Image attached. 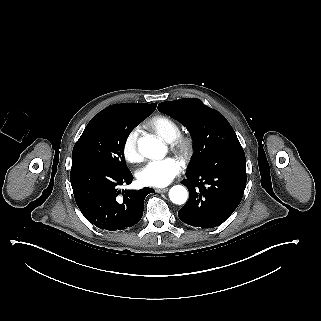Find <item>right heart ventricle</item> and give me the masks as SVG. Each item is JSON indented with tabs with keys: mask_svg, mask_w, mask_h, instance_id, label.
Instances as JSON below:
<instances>
[{
	"mask_svg": "<svg viewBox=\"0 0 321 321\" xmlns=\"http://www.w3.org/2000/svg\"><path fill=\"white\" fill-rule=\"evenodd\" d=\"M148 123L152 131L167 142H171L181 133L179 123L166 115H154Z\"/></svg>",
	"mask_w": 321,
	"mask_h": 321,
	"instance_id": "e07e8e85",
	"label": "right heart ventricle"
}]
</instances>
